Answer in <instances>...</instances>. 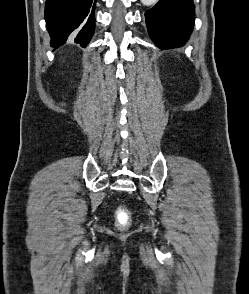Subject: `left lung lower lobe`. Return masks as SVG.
Returning a JSON list of instances; mask_svg holds the SVG:
<instances>
[{"mask_svg": "<svg viewBox=\"0 0 249 294\" xmlns=\"http://www.w3.org/2000/svg\"><path fill=\"white\" fill-rule=\"evenodd\" d=\"M194 10L193 0H159L145 13L155 44L162 49L183 46L192 32Z\"/></svg>", "mask_w": 249, "mask_h": 294, "instance_id": "obj_1", "label": "left lung lower lobe"}]
</instances>
